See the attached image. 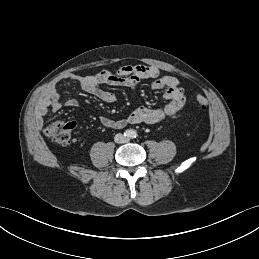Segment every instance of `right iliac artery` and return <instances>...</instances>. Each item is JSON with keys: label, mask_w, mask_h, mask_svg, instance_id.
I'll return each instance as SVG.
<instances>
[{"label": "right iliac artery", "mask_w": 259, "mask_h": 259, "mask_svg": "<svg viewBox=\"0 0 259 259\" xmlns=\"http://www.w3.org/2000/svg\"><path fill=\"white\" fill-rule=\"evenodd\" d=\"M124 136L129 137V136H130V132H129V131H126V132L124 133Z\"/></svg>", "instance_id": "82829eb1"}]
</instances>
